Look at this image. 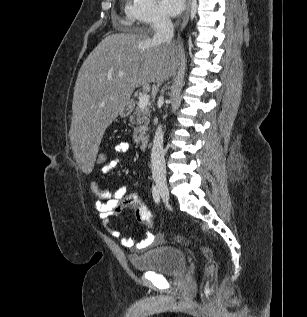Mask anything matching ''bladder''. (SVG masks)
Returning <instances> with one entry per match:
<instances>
[{"label":"bladder","instance_id":"31cf9c89","mask_svg":"<svg viewBox=\"0 0 307 317\" xmlns=\"http://www.w3.org/2000/svg\"><path fill=\"white\" fill-rule=\"evenodd\" d=\"M129 261L136 271H153L162 275H177L186 266L184 254L174 247L160 246L141 256H130Z\"/></svg>","mask_w":307,"mask_h":317}]
</instances>
